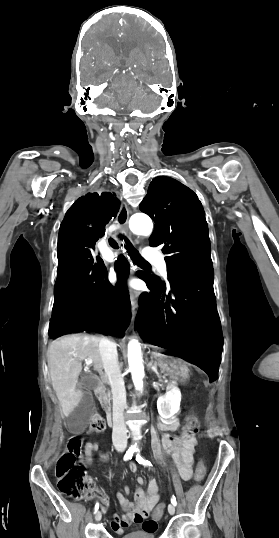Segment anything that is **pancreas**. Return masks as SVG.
Returning a JSON list of instances; mask_svg holds the SVG:
<instances>
[{
  "label": "pancreas",
  "instance_id": "obj_1",
  "mask_svg": "<svg viewBox=\"0 0 279 538\" xmlns=\"http://www.w3.org/2000/svg\"><path fill=\"white\" fill-rule=\"evenodd\" d=\"M170 384H173V381H169V383L163 384V387L170 388ZM109 396H110V392H107V394H106V392H103L102 396H100V398H99V402H101L102 398H103V400H106V402H109V400H108Z\"/></svg>",
  "mask_w": 279,
  "mask_h": 538
}]
</instances>
